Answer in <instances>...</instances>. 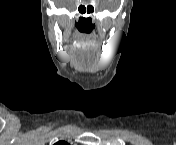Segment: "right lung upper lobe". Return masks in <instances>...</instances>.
<instances>
[{"instance_id":"right-lung-upper-lobe-1","label":"right lung upper lobe","mask_w":176,"mask_h":145,"mask_svg":"<svg viewBox=\"0 0 176 145\" xmlns=\"http://www.w3.org/2000/svg\"><path fill=\"white\" fill-rule=\"evenodd\" d=\"M55 145H68V143L65 141H59V142L55 143Z\"/></svg>"}]
</instances>
